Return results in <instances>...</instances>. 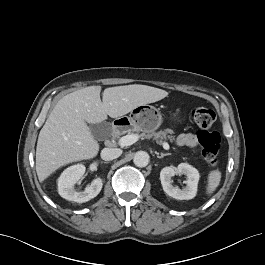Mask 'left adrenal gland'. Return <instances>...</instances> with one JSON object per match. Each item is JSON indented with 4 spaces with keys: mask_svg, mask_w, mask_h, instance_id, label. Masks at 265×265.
I'll list each match as a JSON object with an SVG mask.
<instances>
[{
    "mask_svg": "<svg viewBox=\"0 0 265 265\" xmlns=\"http://www.w3.org/2000/svg\"><path fill=\"white\" fill-rule=\"evenodd\" d=\"M158 158H163L164 156H168L171 155V153H161V155H159V153H156Z\"/></svg>",
    "mask_w": 265,
    "mask_h": 265,
    "instance_id": "left-adrenal-gland-1",
    "label": "left adrenal gland"
}]
</instances>
